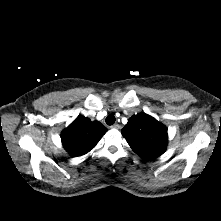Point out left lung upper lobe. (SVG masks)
I'll return each mask as SVG.
<instances>
[{
  "mask_svg": "<svg viewBox=\"0 0 221 221\" xmlns=\"http://www.w3.org/2000/svg\"><path fill=\"white\" fill-rule=\"evenodd\" d=\"M121 133L132 150L145 160H155L166 151L167 128L145 113L132 116Z\"/></svg>",
  "mask_w": 221,
  "mask_h": 221,
  "instance_id": "5c2ea615",
  "label": "left lung upper lobe"
}]
</instances>
